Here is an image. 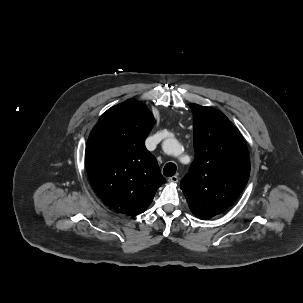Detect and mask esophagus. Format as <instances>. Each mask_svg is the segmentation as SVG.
Masks as SVG:
<instances>
[{"label": "esophagus", "instance_id": "obj_1", "mask_svg": "<svg viewBox=\"0 0 303 303\" xmlns=\"http://www.w3.org/2000/svg\"><path fill=\"white\" fill-rule=\"evenodd\" d=\"M178 180H179V178H178V176H176V175H174V176L168 178V181H169L170 183H177Z\"/></svg>", "mask_w": 303, "mask_h": 303}]
</instances>
